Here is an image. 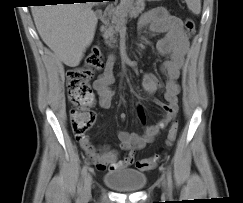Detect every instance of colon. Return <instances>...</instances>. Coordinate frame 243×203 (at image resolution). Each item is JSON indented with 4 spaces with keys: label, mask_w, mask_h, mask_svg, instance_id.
<instances>
[{
    "label": "colon",
    "mask_w": 243,
    "mask_h": 203,
    "mask_svg": "<svg viewBox=\"0 0 243 203\" xmlns=\"http://www.w3.org/2000/svg\"><path fill=\"white\" fill-rule=\"evenodd\" d=\"M185 32L188 38L195 34V23L187 18L184 22ZM104 66L101 55V49L95 47L87 56L86 65L75 67L67 72L68 97L73 107L70 110L71 128L74 136L78 139H84L87 132L92 127L96 115L90 109L93 103V90L91 80L95 70ZM178 133V123L174 121L168 132L167 146L170 147L176 140ZM159 155L150 158L140 159L136 162V168L141 171H147L157 166Z\"/></svg>",
    "instance_id": "5ec220e1"
}]
</instances>
